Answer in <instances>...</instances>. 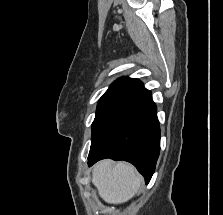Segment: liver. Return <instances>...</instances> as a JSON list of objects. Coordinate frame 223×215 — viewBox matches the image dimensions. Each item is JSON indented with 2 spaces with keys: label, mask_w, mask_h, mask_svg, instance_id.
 I'll return each instance as SVG.
<instances>
[{
  "label": "liver",
  "mask_w": 223,
  "mask_h": 215,
  "mask_svg": "<svg viewBox=\"0 0 223 215\" xmlns=\"http://www.w3.org/2000/svg\"><path fill=\"white\" fill-rule=\"evenodd\" d=\"M143 181L131 163L103 159L93 167L92 183L107 203H123L137 193Z\"/></svg>",
  "instance_id": "liver-1"
}]
</instances>
